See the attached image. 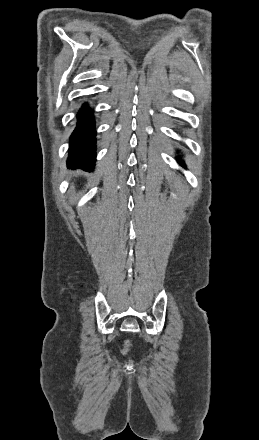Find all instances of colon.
<instances>
[{
    "mask_svg": "<svg viewBox=\"0 0 259 440\" xmlns=\"http://www.w3.org/2000/svg\"><path fill=\"white\" fill-rule=\"evenodd\" d=\"M129 349H130V344H126V346L124 348V352L126 353Z\"/></svg>",
    "mask_w": 259,
    "mask_h": 440,
    "instance_id": "5ec220e1",
    "label": "colon"
}]
</instances>
